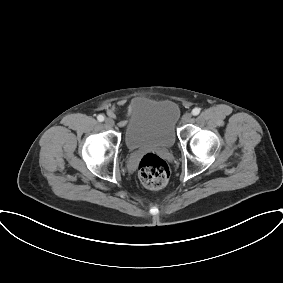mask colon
I'll list each match as a JSON object with an SVG mask.
<instances>
[{
  "label": "colon",
  "mask_w": 283,
  "mask_h": 283,
  "mask_svg": "<svg viewBox=\"0 0 283 283\" xmlns=\"http://www.w3.org/2000/svg\"><path fill=\"white\" fill-rule=\"evenodd\" d=\"M138 176L146 188L159 190L167 184L170 170L162 158L154 153H148L140 160Z\"/></svg>",
  "instance_id": "5ec220e1"
}]
</instances>
